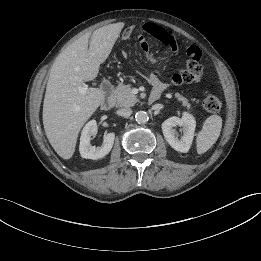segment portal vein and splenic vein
<instances>
[{
    "label": "portal vein and splenic vein",
    "mask_w": 261,
    "mask_h": 261,
    "mask_svg": "<svg viewBox=\"0 0 261 261\" xmlns=\"http://www.w3.org/2000/svg\"><path fill=\"white\" fill-rule=\"evenodd\" d=\"M78 89H79V93L85 94L87 92L88 87L84 85V86H79Z\"/></svg>",
    "instance_id": "portal-vein-and-splenic-vein-1"
}]
</instances>
